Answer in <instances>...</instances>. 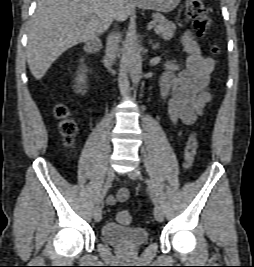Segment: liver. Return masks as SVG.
I'll list each match as a JSON object with an SVG mask.
<instances>
[{
    "label": "liver",
    "instance_id": "6515ba94",
    "mask_svg": "<svg viewBox=\"0 0 254 267\" xmlns=\"http://www.w3.org/2000/svg\"><path fill=\"white\" fill-rule=\"evenodd\" d=\"M129 15L128 0H37L28 28L27 62L32 75L40 80L67 49Z\"/></svg>",
    "mask_w": 254,
    "mask_h": 267
}]
</instances>
